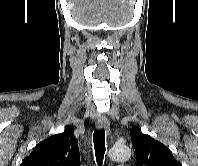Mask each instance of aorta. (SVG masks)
Wrapping results in <instances>:
<instances>
[{"mask_svg":"<svg viewBox=\"0 0 198 166\" xmlns=\"http://www.w3.org/2000/svg\"><path fill=\"white\" fill-rule=\"evenodd\" d=\"M108 155L112 160L125 161L131 157V150L126 145H115L109 150Z\"/></svg>","mask_w":198,"mask_h":166,"instance_id":"aorta-1","label":"aorta"}]
</instances>
